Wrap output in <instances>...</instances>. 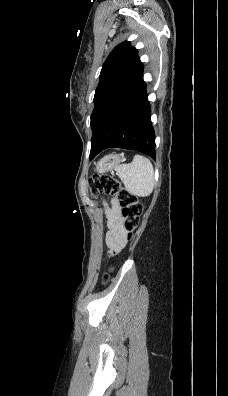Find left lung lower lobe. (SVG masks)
<instances>
[{
    "mask_svg": "<svg viewBox=\"0 0 228 396\" xmlns=\"http://www.w3.org/2000/svg\"><path fill=\"white\" fill-rule=\"evenodd\" d=\"M98 150L118 147L156 158L155 133L143 75L105 112L95 135Z\"/></svg>",
    "mask_w": 228,
    "mask_h": 396,
    "instance_id": "0a47b994",
    "label": "left lung lower lobe"
}]
</instances>
